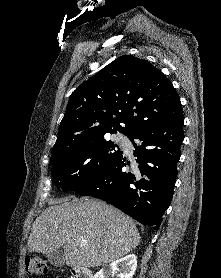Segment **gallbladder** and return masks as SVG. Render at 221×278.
<instances>
[{
	"label": "gallbladder",
	"mask_w": 221,
	"mask_h": 278,
	"mask_svg": "<svg viewBox=\"0 0 221 278\" xmlns=\"http://www.w3.org/2000/svg\"><path fill=\"white\" fill-rule=\"evenodd\" d=\"M46 257L48 261L56 267H61L65 263L64 253L61 250H56L54 252L48 253Z\"/></svg>",
	"instance_id": "1"
}]
</instances>
